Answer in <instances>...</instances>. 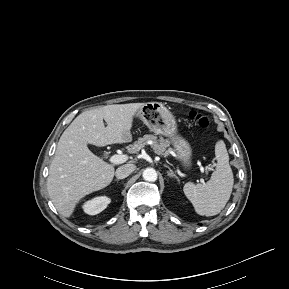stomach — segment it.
Instances as JSON below:
<instances>
[{
	"label": "stomach",
	"instance_id": "stomach-1",
	"mask_svg": "<svg viewBox=\"0 0 289 289\" xmlns=\"http://www.w3.org/2000/svg\"><path fill=\"white\" fill-rule=\"evenodd\" d=\"M149 130L168 138L173 145L178 159L184 169H190L192 148L189 142L178 133V125L174 115L160 102L145 103L135 114Z\"/></svg>",
	"mask_w": 289,
	"mask_h": 289
}]
</instances>
